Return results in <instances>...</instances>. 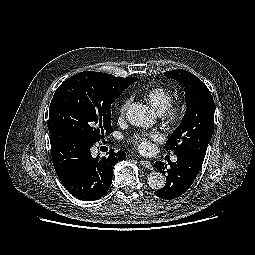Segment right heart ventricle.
I'll list each match as a JSON object with an SVG mask.
<instances>
[{"label":"right heart ventricle","instance_id":"e07e8e85","mask_svg":"<svg viewBox=\"0 0 255 255\" xmlns=\"http://www.w3.org/2000/svg\"><path fill=\"white\" fill-rule=\"evenodd\" d=\"M142 96L158 113L164 112L173 100L172 92L159 85L146 90Z\"/></svg>","mask_w":255,"mask_h":255}]
</instances>
